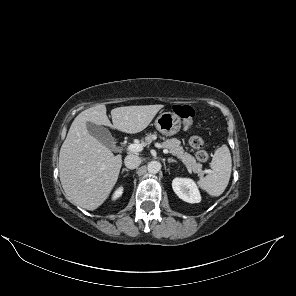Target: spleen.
Listing matches in <instances>:
<instances>
[{
    "instance_id": "obj_1",
    "label": "spleen",
    "mask_w": 296,
    "mask_h": 296,
    "mask_svg": "<svg viewBox=\"0 0 296 296\" xmlns=\"http://www.w3.org/2000/svg\"><path fill=\"white\" fill-rule=\"evenodd\" d=\"M211 172L198 181L199 186L211 196H220L226 189L231 175L232 159L226 145L219 147L210 162Z\"/></svg>"
}]
</instances>
